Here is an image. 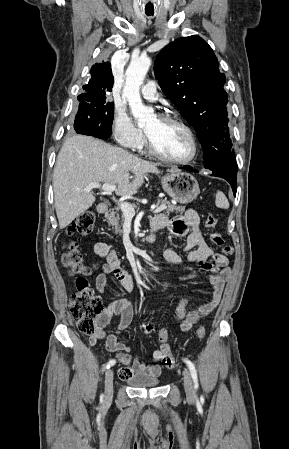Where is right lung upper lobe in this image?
I'll return each mask as SVG.
<instances>
[{
    "instance_id": "cb5924a9",
    "label": "right lung upper lobe",
    "mask_w": 289,
    "mask_h": 449,
    "mask_svg": "<svg viewBox=\"0 0 289 449\" xmlns=\"http://www.w3.org/2000/svg\"><path fill=\"white\" fill-rule=\"evenodd\" d=\"M91 79L88 84L83 86L86 93L82 95H93L96 93H105L112 91L113 87V76L111 70V64L109 62L96 63L95 66L90 70Z\"/></svg>"
}]
</instances>
